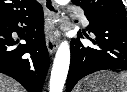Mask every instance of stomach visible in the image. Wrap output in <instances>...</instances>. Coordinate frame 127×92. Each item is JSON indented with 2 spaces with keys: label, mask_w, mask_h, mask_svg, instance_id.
<instances>
[{
  "label": "stomach",
  "mask_w": 127,
  "mask_h": 92,
  "mask_svg": "<svg viewBox=\"0 0 127 92\" xmlns=\"http://www.w3.org/2000/svg\"><path fill=\"white\" fill-rule=\"evenodd\" d=\"M123 85L119 75L110 71H103L86 79L80 92H117Z\"/></svg>",
  "instance_id": "obj_1"
}]
</instances>
